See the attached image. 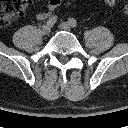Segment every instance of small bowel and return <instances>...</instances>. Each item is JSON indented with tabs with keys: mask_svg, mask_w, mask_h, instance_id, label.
<instances>
[{
	"mask_svg": "<svg viewBox=\"0 0 128 128\" xmlns=\"http://www.w3.org/2000/svg\"><path fill=\"white\" fill-rule=\"evenodd\" d=\"M31 2H32V0H28V3H31ZM61 2H62V0H49L47 9L38 12L36 14V18L38 20L47 19L51 15V13L60 6Z\"/></svg>",
	"mask_w": 128,
	"mask_h": 128,
	"instance_id": "c3829d8e",
	"label": "small bowel"
}]
</instances>
